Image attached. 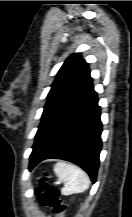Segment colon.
Returning <instances> with one entry per match:
<instances>
[{
	"instance_id": "colon-1",
	"label": "colon",
	"mask_w": 132,
	"mask_h": 217,
	"mask_svg": "<svg viewBox=\"0 0 132 217\" xmlns=\"http://www.w3.org/2000/svg\"><path fill=\"white\" fill-rule=\"evenodd\" d=\"M36 196L41 205L51 208L58 217L63 215L66 206L60 199V191L49 186L46 177L41 178V183L36 188Z\"/></svg>"
}]
</instances>
